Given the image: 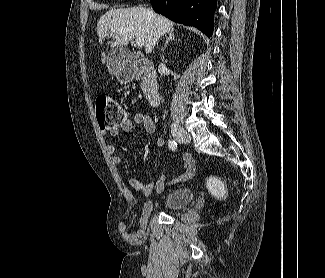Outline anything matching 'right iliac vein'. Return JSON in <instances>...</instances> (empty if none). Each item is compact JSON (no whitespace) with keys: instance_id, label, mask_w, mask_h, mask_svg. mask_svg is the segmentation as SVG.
<instances>
[{"instance_id":"obj_1","label":"right iliac vein","mask_w":325,"mask_h":278,"mask_svg":"<svg viewBox=\"0 0 325 278\" xmlns=\"http://www.w3.org/2000/svg\"><path fill=\"white\" fill-rule=\"evenodd\" d=\"M173 136L181 143H189L191 141L190 134L182 128H175L172 131Z\"/></svg>"}]
</instances>
